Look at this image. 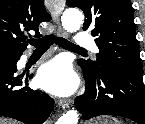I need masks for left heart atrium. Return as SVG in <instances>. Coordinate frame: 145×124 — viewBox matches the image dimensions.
Returning a JSON list of instances; mask_svg holds the SVG:
<instances>
[{
    "label": "left heart atrium",
    "mask_w": 145,
    "mask_h": 124,
    "mask_svg": "<svg viewBox=\"0 0 145 124\" xmlns=\"http://www.w3.org/2000/svg\"><path fill=\"white\" fill-rule=\"evenodd\" d=\"M37 82L43 89L64 96L76 89L78 79L67 61L55 59L39 69Z\"/></svg>",
    "instance_id": "obj_1"
}]
</instances>
